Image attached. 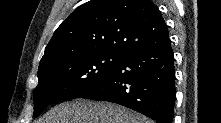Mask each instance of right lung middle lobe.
<instances>
[{
	"label": "right lung middle lobe",
	"mask_w": 221,
	"mask_h": 123,
	"mask_svg": "<svg viewBox=\"0 0 221 123\" xmlns=\"http://www.w3.org/2000/svg\"><path fill=\"white\" fill-rule=\"evenodd\" d=\"M126 58L125 53L91 50L63 56L39 66L34 117L50 104L81 97L103 83Z\"/></svg>",
	"instance_id": "obj_1"
}]
</instances>
